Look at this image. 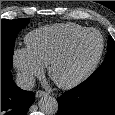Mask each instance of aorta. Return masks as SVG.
Listing matches in <instances>:
<instances>
[{
	"label": "aorta",
	"instance_id": "1",
	"mask_svg": "<svg viewBox=\"0 0 115 115\" xmlns=\"http://www.w3.org/2000/svg\"><path fill=\"white\" fill-rule=\"evenodd\" d=\"M38 105L40 110L47 115L56 114L58 111V102L54 97L50 95H44L39 100Z\"/></svg>",
	"mask_w": 115,
	"mask_h": 115
}]
</instances>
